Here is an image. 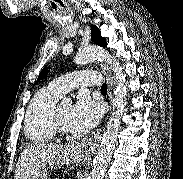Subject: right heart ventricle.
<instances>
[{
    "mask_svg": "<svg viewBox=\"0 0 183 179\" xmlns=\"http://www.w3.org/2000/svg\"><path fill=\"white\" fill-rule=\"evenodd\" d=\"M61 97L49 86L40 89L32 98L25 119L26 136L34 142H46L54 138L52 113L57 100Z\"/></svg>",
    "mask_w": 183,
    "mask_h": 179,
    "instance_id": "obj_1",
    "label": "right heart ventricle"
}]
</instances>
